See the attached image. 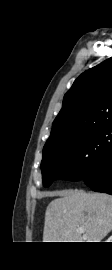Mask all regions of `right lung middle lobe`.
Masks as SVG:
<instances>
[{
	"label": "right lung middle lobe",
	"instance_id": "1",
	"mask_svg": "<svg viewBox=\"0 0 112 270\" xmlns=\"http://www.w3.org/2000/svg\"><path fill=\"white\" fill-rule=\"evenodd\" d=\"M112 146V124H108L57 146L43 150V185L55 179L76 181L97 169L103 155Z\"/></svg>",
	"mask_w": 112,
	"mask_h": 270
}]
</instances>
